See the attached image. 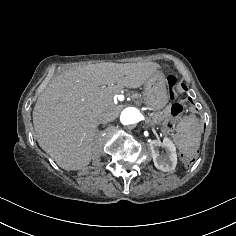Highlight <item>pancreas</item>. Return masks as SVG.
<instances>
[{
    "label": "pancreas",
    "mask_w": 236,
    "mask_h": 236,
    "mask_svg": "<svg viewBox=\"0 0 236 236\" xmlns=\"http://www.w3.org/2000/svg\"><path fill=\"white\" fill-rule=\"evenodd\" d=\"M152 120L154 123H156L157 121H159L158 117L156 115H152L151 116Z\"/></svg>",
    "instance_id": "pancreas-1"
}]
</instances>
